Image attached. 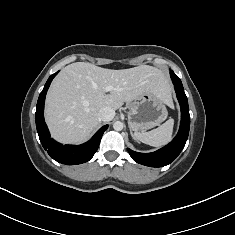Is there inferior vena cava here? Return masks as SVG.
<instances>
[{
	"mask_svg": "<svg viewBox=\"0 0 235 235\" xmlns=\"http://www.w3.org/2000/svg\"><path fill=\"white\" fill-rule=\"evenodd\" d=\"M115 116V110L111 107H102L99 110L98 117L100 121H111Z\"/></svg>",
	"mask_w": 235,
	"mask_h": 235,
	"instance_id": "602c4592",
	"label": "inferior vena cava"
}]
</instances>
